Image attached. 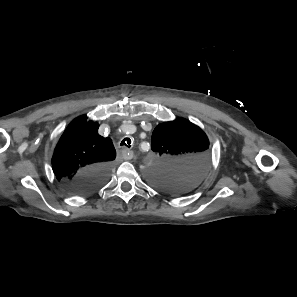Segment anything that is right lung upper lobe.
I'll use <instances>...</instances> for the list:
<instances>
[{
	"label": "right lung upper lobe",
	"instance_id": "obj_1",
	"mask_svg": "<svg viewBox=\"0 0 297 297\" xmlns=\"http://www.w3.org/2000/svg\"><path fill=\"white\" fill-rule=\"evenodd\" d=\"M86 120V116H80L70 123L53 154V172L67 184L88 167L111 165L116 157L112 140L98 134L97 122Z\"/></svg>",
	"mask_w": 297,
	"mask_h": 297
}]
</instances>
